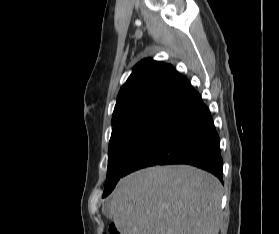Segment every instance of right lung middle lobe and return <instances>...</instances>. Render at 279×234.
Segmentation results:
<instances>
[{"label":"right lung middle lobe","mask_w":279,"mask_h":234,"mask_svg":"<svg viewBox=\"0 0 279 234\" xmlns=\"http://www.w3.org/2000/svg\"><path fill=\"white\" fill-rule=\"evenodd\" d=\"M171 107L152 106L126 112L112 119L107 179L103 197L123 177L129 160Z\"/></svg>","instance_id":"obj_1"}]
</instances>
